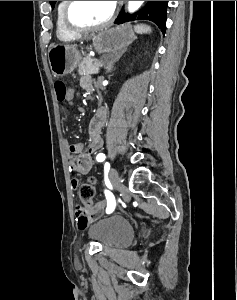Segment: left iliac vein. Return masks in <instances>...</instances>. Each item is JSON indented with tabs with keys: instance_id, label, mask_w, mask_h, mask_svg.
Segmentation results:
<instances>
[{
	"instance_id": "left-iliac-vein-1",
	"label": "left iliac vein",
	"mask_w": 237,
	"mask_h": 300,
	"mask_svg": "<svg viewBox=\"0 0 237 300\" xmlns=\"http://www.w3.org/2000/svg\"><path fill=\"white\" fill-rule=\"evenodd\" d=\"M109 176L114 189L124 190V185L120 181L118 173L115 168L110 169Z\"/></svg>"
}]
</instances>
